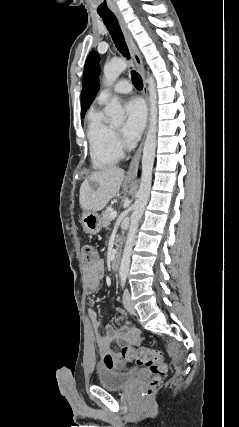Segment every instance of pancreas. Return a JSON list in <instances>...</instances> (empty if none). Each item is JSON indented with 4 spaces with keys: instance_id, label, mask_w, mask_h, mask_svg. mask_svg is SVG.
I'll use <instances>...</instances> for the list:
<instances>
[{
    "instance_id": "pancreas-1",
    "label": "pancreas",
    "mask_w": 239,
    "mask_h": 427,
    "mask_svg": "<svg viewBox=\"0 0 239 427\" xmlns=\"http://www.w3.org/2000/svg\"><path fill=\"white\" fill-rule=\"evenodd\" d=\"M110 211H105L104 213H103V216H102V224H103V227H108L109 225H110V222H111V218H110Z\"/></svg>"
}]
</instances>
